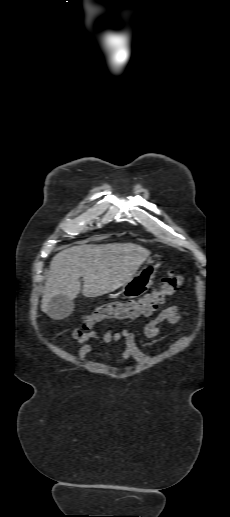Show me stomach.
<instances>
[{"instance_id": "stomach-1", "label": "stomach", "mask_w": 230, "mask_h": 517, "mask_svg": "<svg viewBox=\"0 0 230 517\" xmlns=\"http://www.w3.org/2000/svg\"><path fill=\"white\" fill-rule=\"evenodd\" d=\"M161 264L159 259H148L145 266L123 285L122 295L125 298H137L143 295L153 284L155 274Z\"/></svg>"}]
</instances>
